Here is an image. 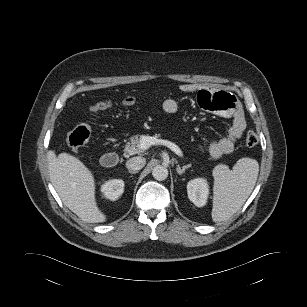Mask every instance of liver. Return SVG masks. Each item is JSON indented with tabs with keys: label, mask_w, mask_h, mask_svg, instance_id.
Returning <instances> with one entry per match:
<instances>
[{
	"label": "liver",
	"mask_w": 307,
	"mask_h": 307,
	"mask_svg": "<svg viewBox=\"0 0 307 307\" xmlns=\"http://www.w3.org/2000/svg\"><path fill=\"white\" fill-rule=\"evenodd\" d=\"M50 180L66 207L87 223L106 221L95 198V182L91 171L75 156L54 151L47 153Z\"/></svg>",
	"instance_id": "liver-1"
}]
</instances>
